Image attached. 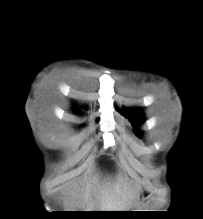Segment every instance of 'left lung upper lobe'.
<instances>
[{
	"label": "left lung upper lobe",
	"instance_id": "left-lung-upper-lobe-1",
	"mask_svg": "<svg viewBox=\"0 0 203 219\" xmlns=\"http://www.w3.org/2000/svg\"><path fill=\"white\" fill-rule=\"evenodd\" d=\"M123 114L130 119L132 124L134 126H137L138 124L142 123L144 120V117L142 115V112L138 109L135 110H125L123 111ZM137 135H141L139 131H136Z\"/></svg>",
	"mask_w": 203,
	"mask_h": 219
}]
</instances>
